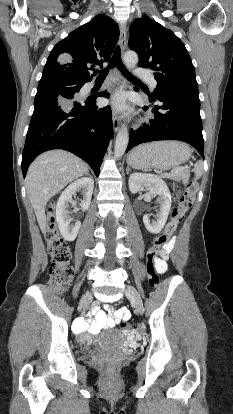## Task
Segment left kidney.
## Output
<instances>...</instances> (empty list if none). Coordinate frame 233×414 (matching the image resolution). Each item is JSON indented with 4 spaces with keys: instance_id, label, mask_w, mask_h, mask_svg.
Returning a JSON list of instances; mask_svg holds the SVG:
<instances>
[{
    "instance_id": "obj_1",
    "label": "left kidney",
    "mask_w": 233,
    "mask_h": 414,
    "mask_svg": "<svg viewBox=\"0 0 233 414\" xmlns=\"http://www.w3.org/2000/svg\"><path fill=\"white\" fill-rule=\"evenodd\" d=\"M129 189L131 193L135 194L143 187H147L153 196H158V203L160 204V211L157 214V221H152L149 215L143 216V223L146 229L154 234L159 233L168 218L171 208V194L165 181L153 174L147 173H132L129 177Z\"/></svg>"
}]
</instances>
